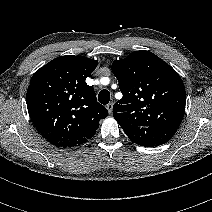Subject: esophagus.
I'll use <instances>...</instances> for the list:
<instances>
[{
  "label": "esophagus",
  "instance_id": "esophagus-1",
  "mask_svg": "<svg viewBox=\"0 0 212 212\" xmlns=\"http://www.w3.org/2000/svg\"><path fill=\"white\" fill-rule=\"evenodd\" d=\"M106 108H107V110H108L109 113H112L113 103L112 102L108 103L107 106H106Z\"/></svg>",
  "mask_w": 212,
  "mask_h": 212
}]
</instances>
